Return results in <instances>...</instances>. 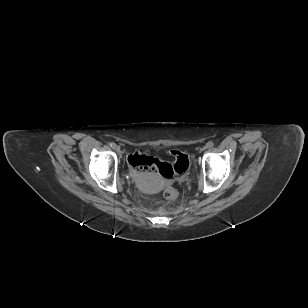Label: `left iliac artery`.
<instances>
[{"instance_id":"1","label":"left iliac artery","mask_w":308,"mask_h":308,"mask_svg":"<svg viewBox=\"0 0 308 308\" xmlns=\"http://www.w3.org/2000/svg\"><path fill=\"white\" fill-rule=\"evenodd\" d=\"M213 145H214V143H213L212 141H208L207 144H206V146H207L208 148L213 147Z\"/></svg>"}]
</instances>
